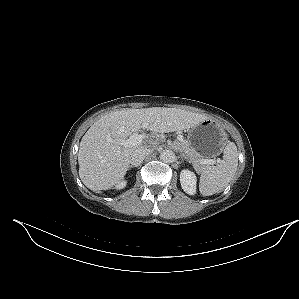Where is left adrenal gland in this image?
<instances>
[{"instance_id":"obj_1","label":"left adrenal gland","mask_w":299,"mask_h":299,"mask_svg":"<svg viewBox=\"0 0 299 299\" xmlns=\"http://www.w3.org/2000/svg\"><path fill=\"white\" fill-rule=\"evenodd\" d=\"M180 156H181L182 159H186V160H188L187 157H186V155H185L184 153H180ZM188 161H189V160H188ZM189 162H190V161H189Z\"/></svg>"}]
</instances>
